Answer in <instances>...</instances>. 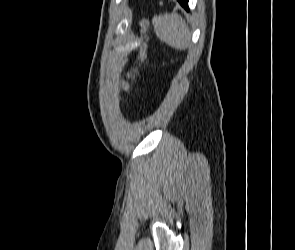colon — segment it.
<instances>
[{
	"label": "colon",
	"instance_id": "obj_1",
	"mask_svg": "<svg viewBox=\"0 0 295 250\" xmlns=\"http://www.w3.org/2000/svg\"><path fill=\"white\" fill-rule=\"evenodd\" d=\"M144 53H145V47L143 46V47H141V49H140V51H139L138 60H140V59L143 58ZM131 72H132L133 74H135L136 70H135V69H132ZM132 73H131V74H132Z\"/></svg>",
	"mask_w": 295,
	"mask_h": 250
}]
</instances>
